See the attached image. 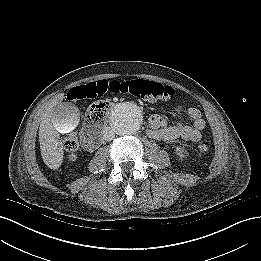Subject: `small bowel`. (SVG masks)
<instances>
[{
    "instance_id": "small-bowel-1",
    "label": "small bowel",
    "mask_w": 261,
    "mask_h": 261,
    "mask_svg": "<svg viewBox=\"0 0 261 261\" xmlns=\"http://www.w3.org/2000/svg\"><path fill=\"white\" fill-rule=\"evenodd\" d=\"M178 109L186 113L191 121L190 125L182 122L167 125L166 120L162 116L153 115L149 119L148 136L156 140L165 141L179 138L191 142L198 141L206 125L200 110L195 107L184 109L182 106H179Z\"/></svg>"
}]
</instances>
